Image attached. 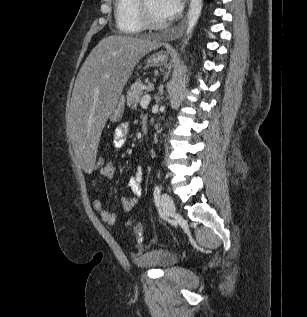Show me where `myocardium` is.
Segmentation results:
<instances>
[{
    "label": "myocardium",
    "mask_w": 307,
    "mask_h": 317,
    "mask_svg": "<svg viewBox=\"0 0 307 317\" xmlns=\"http://www.w3.org/2000/svg\"><path fill=\"white\" fill-rule=\"evenodd\" d=\"M138 9L141 21L145 27L152 30H159L165 28L168 25L167 21L159 22L152 17L146 5V0H138Z\"/></svg>",
    "instance_id": "myocardium-1"
}]
</instances>
